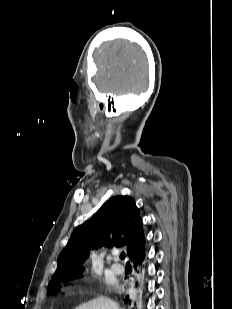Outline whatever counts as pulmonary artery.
<instances>
[{
    "label": "pulmonary artery",
    "instance_id": "e3ab8cb5",
    "mask_svg": "<svg viewBox=\"0 0 232 309\" xmlns=\"http://www.w3.org/2000/svg\"><path fill=\"white\" fill-rule=\"evenodd\" d=\"M111 269L116 274H122L125 270L124 267L118 263L112 264Z\"/></svg>",
    "mask_w": 232,
    "mask_h": 309
}]
</instances>
